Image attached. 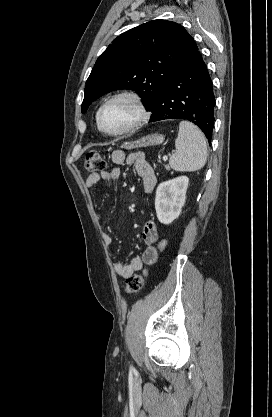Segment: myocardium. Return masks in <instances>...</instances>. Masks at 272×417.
Instances as JSON below:
<instances>
[{
  "label": "myocardium",
  "instance_id": "myocardium-1",
  "mask_svg": "<svg viewBox=\"0 0 272 417\" xmlns=\"http://www.w3.org/2000/svg\"><path fill=\"white\" fill-rule=\"evenodd\" d=\"M119 99H129L130 101H132L138 110V117L132 124H130L126 128L116 131V132H110V131H107L102 125V115H103L105 108L110 103ZM149 117H150V112L143 98L135 91L125 90V91H121V92L113 94L100 106L97 112L96 120H97L98 129L103 134L107 136H111V137H118V136H122L128 133L134 132L135 130L139 129L142 125H144L147 122Z\"/></svg>",
  "mask_w": 272,
  "mask_h": 417
}]
</instances>
